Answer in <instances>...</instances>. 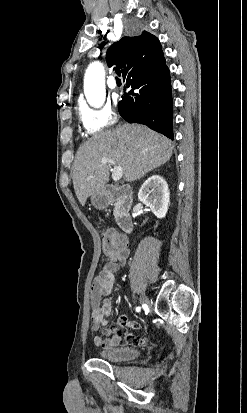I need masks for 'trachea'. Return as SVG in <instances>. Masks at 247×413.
Wrapping results in <instances>:
<instances>
[{
  "instance_id": "obj_1",
  "label": "trachea",
  "mask_w": 247,
  "mask_h": 413,
  "mask_svg": "<svg viewBox=\"0 0 247 413\" xmlns=\"http://www.w3.org/2000/svg\"><path fill=\"white\" fill-rule=\"evenodd\" d=\"M116 80H120V79H118V77H116Z\"/></svg>"
}]
</instances>
